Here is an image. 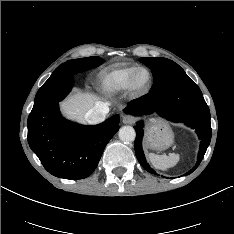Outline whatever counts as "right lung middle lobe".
Here are the masks:
<instances>
[{
	"mask_svg": "<svg viewBox=\"0 0 234 234\" xmlns=\"http://www.w3.org/2000/svg\"><path fill=\"white\" fill-rule=\"evenodd\" d=\"M101 63H102L101 58L97 56L68 60L67 62L57 67L55 71L69 72L75 75L79 72H83L92 69L94 67H97Z\"/></svg>",
	"mask_w": 234,
	"mask_h": 234,
	"instance_id": "obj_1",
	"label": "right lung middle lobe"
}]
</instances>
